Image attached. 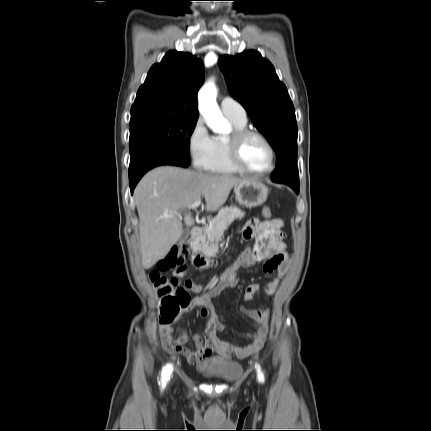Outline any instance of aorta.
I'll use <instances>...</instances> for the list:
<instances>
[{"mask_svg":"<svg viewBox=\"0 0 431 431\" xmlns=\"http://www.w3.org/2000/svg\"><path fill=\"white\" fill-rule=\"evenodd\" d=\"M216 95L217 89L215 84L213 81H209L203 85L198 93V107L207 125L215 133H225L229 131L230 125L218 108Z\"/></svg>","mask_w":431,"mask_h":431,"instance_id":"762f6f07","label":"aorta"}]
</instances>
